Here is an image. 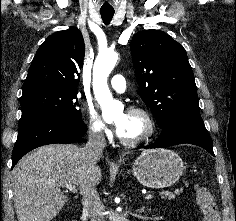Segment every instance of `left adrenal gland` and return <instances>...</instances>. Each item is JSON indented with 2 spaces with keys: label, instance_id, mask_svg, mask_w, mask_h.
I'll return each instance as SVG.
<instances>
[{
  "label": "left adrenal gland",
  "instance_id": "obj_1",
  "mask_svg": "<svg viewBox=\"0 0 236 221\" xmlns=\"http://www.w3.org/2000/svg\"><path fill=\"white\" fill-rule=\"evenodd\" d=\"M138 212H143L144 211V207H142L140 210H137Z\"/></svg>",
  "mask_w": 236,
  "mask_h": 221
}]
</instances>
